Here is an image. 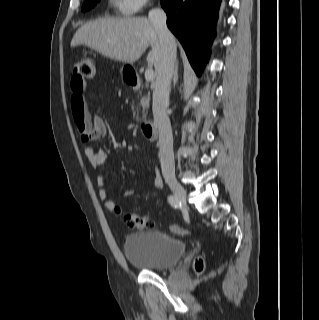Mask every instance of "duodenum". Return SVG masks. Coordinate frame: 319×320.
<instances>
[{"label": "duodenum", "mask_w": 319, "mask_h": 320, "mask_svg": "<svg viewBox=\"0 0 319 320\" xmlns=\"http://www.w3.org/2000/svg\"><path fill=\"white\" fill-rule=\"evenodd\" d=\"M126 80L129 84L137 87L139 86V78L136 76V74L131 71L126 74ZM142 131L146 138L149 141H155L158 138V129L157 126L154 123L151 122H144L142 124Z\"/></svg>", "instance_id": "obj_1"}]
</instances>
